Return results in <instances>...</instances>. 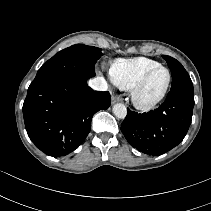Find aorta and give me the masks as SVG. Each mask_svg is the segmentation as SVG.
Instances as JSON below:
<instances>
[{
	"mask_svg": "<svg viewBox=\"0 0 211 211\" xmlns=\"http://www.w3.org/2000/svg\"><path fill=\"white\" fill-rule=\"evenodd\" d=\"M113 113L116 117L124 119L127 114V108L122 103H117L113 106Z\"/></svg>",
	"mask_w": 211,
	"mask_h": 211,
	"instance_id": "1",
	"label": "aorta"
}]
</instances>
